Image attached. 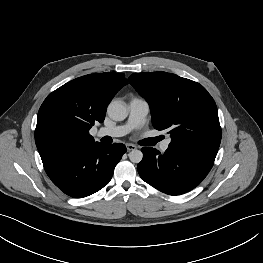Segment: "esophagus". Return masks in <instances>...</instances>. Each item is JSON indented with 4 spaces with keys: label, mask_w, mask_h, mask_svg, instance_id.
Returning a JSON list of instances; mask_svg holds the SVG:
<instances>
[{
    "label": "esophagus",
    "mask_w": 263,
    "mask_h": 263,
    "mask_svg": "<svg viewBox=\"0 0 263 263\" xmlns=\"http://www.w3.org/2000/svg\"><path fill=\"white\" fill-rule=\"evenodd\" d=\"M126 148H127L128 151H132V150L137 149V146L134 145V144H127Z\"/></svg>",
    "instance_id": "1"
}]
</instances>
